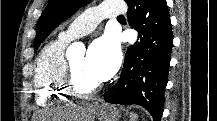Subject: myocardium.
<instances>
[{"mask_svg":"<svg viewBox=\"0 0 217 121\" xmlns=\"http://www.w3.org/2000/svg\"><path fill=\"white\" fill-rule=\"evenodd\" d=\"M63 87L68 95L77 98H89L95 95L101 89L102 84L99 82L90 88H84L80 86L77 82L71 61H66L63 74Z\"/></svg>","mask_w":217,"mask_h":121,"instance_id":"myocardium-1","label":"myocardium"}]
</instances>
